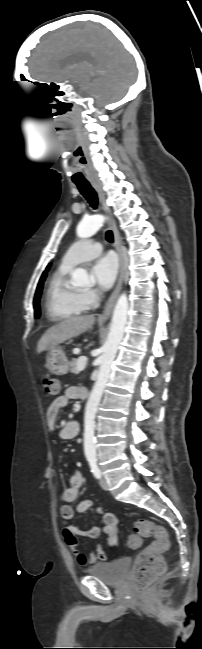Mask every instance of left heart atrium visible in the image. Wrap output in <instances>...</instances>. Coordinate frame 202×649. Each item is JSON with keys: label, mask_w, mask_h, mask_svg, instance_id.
I'll use <instances>...</instances> for the list:
<instances>
[{"label": "left heart atrium", "mask_w": 202, "mask_h": 649, "mask_svg": "<svg viewBox=\"0 0 202 649\" xmlns=\"http://www.w3.org/2000/svg\"><path fill=\"white\" fill-rule=\"evenodd\" d=\"M117 272V259L110 253L98 258L91 268V275L95 283L102 289H108L112 286L116 279Z\"/></svg>", "instance_id": "left-heart-atrium-1"}]
</instances>
